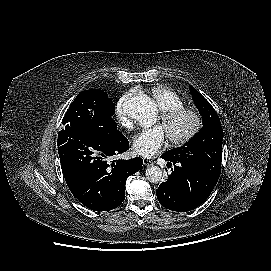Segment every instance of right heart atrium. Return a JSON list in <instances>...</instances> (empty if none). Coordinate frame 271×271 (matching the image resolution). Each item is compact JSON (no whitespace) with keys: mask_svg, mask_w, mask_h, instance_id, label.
<instances>
[{"mask_svg":"<svg viewBox=\"0 0 271 271\" xmlns=\"http://www.w3.org/2000/svg\"><path fill=\"white\" fill-rule=\"evenodd\" d=\"M133 92L124 94L116 104V117L121 126L129 128L131 126V119L128 115L126 106L130 99L133 97Z\"/></svg>","mask_w":271,"mask_h":271,"instance_id":"1","label":"right heart atrium"}]
</instances>
